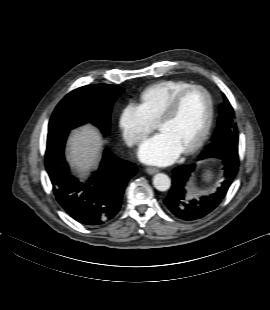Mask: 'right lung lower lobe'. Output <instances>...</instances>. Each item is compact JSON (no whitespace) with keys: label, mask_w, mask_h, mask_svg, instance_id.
<instances>
[{"label":"right lung lower lobe","mask_w":270,"mask_h":310,"mask_svg":"<svg viewBox=\"0 0 270 310\" xmlns=\"http://www.w3.org/2000/svg\"><path fill=\"white\" fill-rule=\"evenodd\" d=\"M62 131H50L45 166L53 192L63 209L85 225H100L112 219L121 206L128 181L137 173L134 163L117 158L105 150L97 172L84 184L71 178L64 159L67 138Z\"/></svg>","instance_id":"obj_1"}]
</instances>
